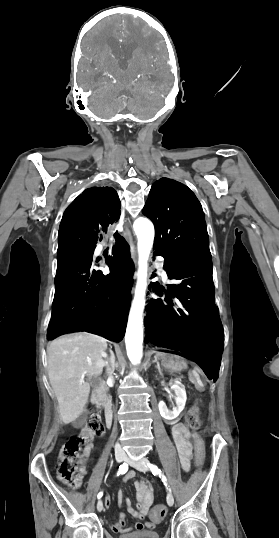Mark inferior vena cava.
I'll list each match as a JSON object with an SVG mask.
<instances>
[{
  "instance_id": "inferior-vena-cava-1",
  "label": "inferior vena cava",
  "mask_w": 279,
  "mask_h": 538,
  "mask_svg": "<svg viewBox=\"0 0 279 538\" xmlns=\"http://www.w3.org/2000/svg\"><path fill=\"white\" fill-rule=\"evenodd\" d=\"M102 356H103V357H104V356L106 357L107 354H105L104 352H102ZM113 362H114V361H111V363H113ZM103 363H104V365H107V364H108L107 361H106V362L103 361ZM105 363H106V364H105ZM112 367L114 368V366H112ZM114 375H116V374L114 373ZM109 378H110V381H107V384H108V385L112 384V386H113V383H114V381H113V376H110ZM117 456L122 457L123 460H124L125 458H127V457H126L127 455L124 454V452H123V450H122L120 444H118V443L115 445V457H117Z\"/></svg>"
}]
</instances>
